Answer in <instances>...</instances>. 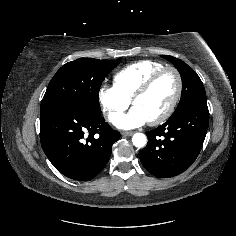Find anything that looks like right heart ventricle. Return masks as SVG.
Instances as JSON below:
<instances>
[{"mask_svg":"<svg viewBox=\"0 0 236 236\" xmlns=\"http://www.w3.org/2000/svg\"><path fill=\"white\" fill-rule=\"evenodd\" d=\"M164 67L162 63L150 60L130 64L114 75V86L123 96L131 100L145 81Z\"/></svg>","mask_w":236,"mask_h":236,"instance_id":"obj_1","label":"right heart ventricle"}]
</instances>
